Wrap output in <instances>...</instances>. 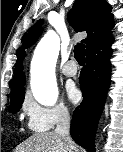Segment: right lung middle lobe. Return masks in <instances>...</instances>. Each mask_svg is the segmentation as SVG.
<instances>
[{"label":"right lung middle lobe","mask_w":123,"mask_h":152,"mask_svg":"<svg viewBox=\"0 0 123 152\" xmlns=\"http://www.w3.org/2000/svg\"><path fill=\"white\" fill-rule=\"evenodd\" d=\"M24 95H25L24 89H21L11 94V102L9 106L10 113H16L19 111L24 100Z\"/></svg>","instance_id":"dd1d6c3e"}]
</instances>
